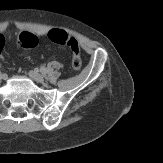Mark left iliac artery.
Masks as SVG:
<instances>
[{
  "instance_id": "obj_1",
  "label": "left iliac artery",
  "mask_w": 163,
  "mask_h": 163,
  "mask_svg": "<svg viewBox=\"0 0 163 163\" xmlns=\"http://www.w3.org/2000/svg\"><path fill=\"white\" fill-rule=\"evenodd\" d=\"M40 71H41L42 74H46L47 73V70H46L45 67H41L40 68Z\"/></svg>"
}]
</instances>
